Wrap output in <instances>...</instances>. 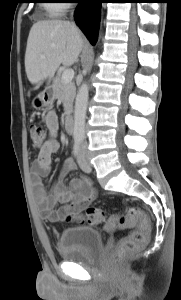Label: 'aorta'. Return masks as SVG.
<instances>
[{
	"instance_id": "aorta-1",
	"label": "aorta",
	"mask_w": 181,
	"mask_h": 300,
	"mask_svg": "<svg viewBox=\"0 0 181 300\" xmlns=\"http://www.w3.org/2000/svg\"><path fill=\"white\" fill-rule=\"evenodd\" d=\"M89 95V85L87 82L82 83L79 87L74 110V139H84L85 136V120L87 112V103Z\"/></svg>"
}]
</instances>
